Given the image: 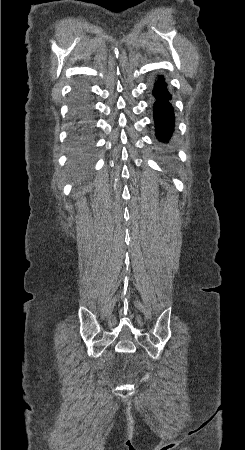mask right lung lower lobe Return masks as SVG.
<instances>
[{
  "instance_id": "1",
  "label": "right lung lower lobe",
  "mask_w": 245,
  "mask_h": 450,
  "mask_svg": "<svg viewBox=\"0 0 245 450\" xmlns=\"http://www.w3.org/2000/svg\"><path fill=\"white\" fill-rule=\"evenodd\" d=\"M73 114L77 123L73 131L71 160L75 169L84 171L92 160V139L88 122L90 106L83 96L77 98Z\"/></svg>"
}]
</instances>
